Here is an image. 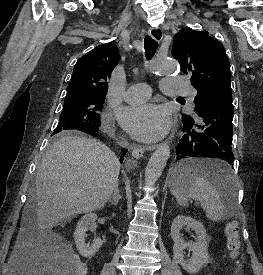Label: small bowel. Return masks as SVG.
<instances>
[{"label":"small bowel","mask_w":263,"mask_h":275,"mask_svg":"<svg viewBox=\"0 0 263 275\" xmlns=\"http://www.w3.org/2000/svg\"><path fill=\"white\" fill-rule=\"evenodd\" d=\"M49 250L44 249L28 264L31 275H54L56 260L48 256ZM45 259H47L45 261Z\"/></svg>","instance_id":"c3829d8e"}]
</instances>
